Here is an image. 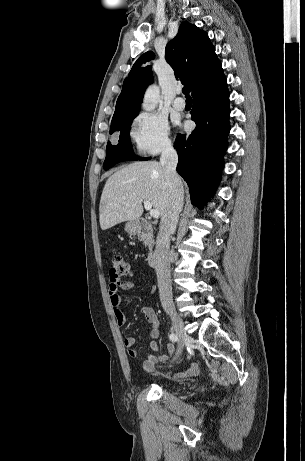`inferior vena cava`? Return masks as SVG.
Listing matches in <instances>:
<instances>
[{"instance_id": "obj_1", "label": "inferior vena cava", "mask_w": 305, "mask_h": 461, "mask_svg": "<svg viewBox=\"0 0 305 461\" xmlns=\"http://www.w3.org/2000/svg\"><path fill=\"white\" fill-rule=\"evenodd\" d=\"M177 163V152L172 145H168L161 154L160 164L164 169L165 179L169 187V203L161 218L155 248V270L159 296L164 309L172 307L173 303L169 260L170 236L176 229L184 199L182 182L176 172Z\"/></svg>"}]
</instances>
